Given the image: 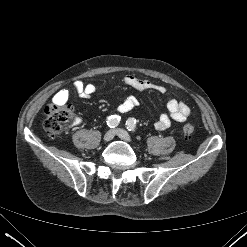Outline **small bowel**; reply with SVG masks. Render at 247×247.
I'll return each instance as SVG.
<instances>
[{"mask_svg":"<svg viewBox=\"0 0 247 247\" xmlns=\"http://www.w3.org/2000/svg\"><path fill=\"white\" fill-rule=\"evenodd\" d=\"M124 83L139 91H156L165 93V86L155 83L151 80L141 79L134 75H126ZM74 89L81 98H89L96 92L94 84H85L82 81L74 82ZM69 98V91L67 89L59 90L53 97L55 103H65ZM139 105V101L135 96L127 97L121 104H119L117 111L120 114H125ZM167 113H162L155 123L158 130H166L171 126L172 121L184 122L191 114V110L187 104L177 99H170L167 102Z\"/></svg>","mask_w":247,"mask_h":247,"instance_id":"obj_1","label":"small bowel"}]
</instances>
